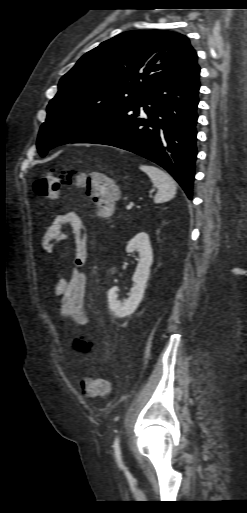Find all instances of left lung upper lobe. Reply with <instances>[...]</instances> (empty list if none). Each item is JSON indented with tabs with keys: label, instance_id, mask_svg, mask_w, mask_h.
<instances>
[{
	"label": "left lung upper lobe",
	"instance_id": "obj_1",
	"mask_svg": "<svg viewBox=\"0 0 247 513\" xmlns=\"http://www.w3.org/2000/svg\"><path fill=\"white\" fill-rule=\"evenodd\" d=\"M196 56L186 36L165 30L124 32L101 43L60 79L39 131L38 152L45 156L94 131Z\"/></svg>",
	"mask_w": 247,
	"mask_h": 513
}]
</instances>
